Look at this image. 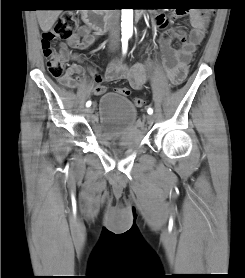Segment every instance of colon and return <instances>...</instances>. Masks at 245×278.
<instances>
[{
	"label": "colon",
	"instance_id": "1",
	"mask_svg": "<svg viewBox=\"0 0 245 278\" xmlns=\"http://www.w3.org/2000/svg\"><path fill=\"white\" fill-rule=\"evenodd\" d=\"M201 7L209 12L214 10V7L209 4L202 5ZM76 24L77 21L73 15L62 14L58 16L56 23L52 28L42 33V47L48 71L54 78L63 83H67L64 78V70L72 55L65 46L59 47L57 41L69 37L75 29ZM180 82V79H175L173 84L179 85ZM116 92L125 97L130 95V90L126 87H118ZM133 104L136 107H141L144 104V100L140 97H135L133 99Z\"/></svg>",
	"mask_w": 245,
	"mask_h": 278
}]
</instances>
